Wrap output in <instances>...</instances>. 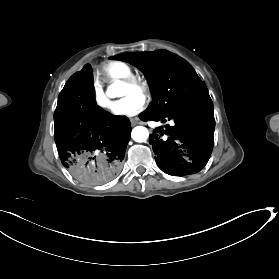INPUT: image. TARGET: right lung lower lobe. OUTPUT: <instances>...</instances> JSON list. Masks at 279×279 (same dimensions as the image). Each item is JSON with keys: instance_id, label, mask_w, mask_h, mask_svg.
Instances as JSON below:
<instances>
[{"instance_id": "right-lung-lower-lobe-1", "label": "right lung lower lobe", "mask_w": 279, "mask_h": 279, "mask_svg": "<svg viewBox=\"0 0 279 279\" xmlns=\"http://www.w3.org/2000/svg\"><path fill=\"white\" fill-rule=\"evenodd\" d=\"M92 89L93 71L86 64L59 94L54 113L55 142L63 166L76 179L100 185L121 172L131 126L128 118L99 107Z\"/></svg>"}]
</instances>
